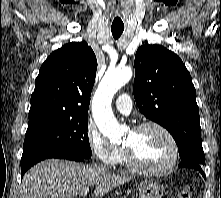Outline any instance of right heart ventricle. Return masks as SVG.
Wrapping results in <instances>:
<instances>
[{"label":"right heart ventricle","mask_w":221,"mask_h":198,"mask_svg":"<svg viewBox=\"0 0 221 198\" xmlns=\"http://www.w3.org/2000/svg\"><path fill=\"white\" fill-rule=\"evenodd\" d=\"M117 163H121L122 165L128 166L123 149H121V153H120V156H119V159H118Z\"/></svg>","instance_id":"right-heart-ventricle-1"}]
</instances>
